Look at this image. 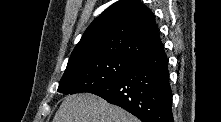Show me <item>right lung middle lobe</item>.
<instances>
[{"label":"right lung middle lobe","instance_id":"dd1d6c3e","mask_svg":"<svg viewBox=\"0 0 221 122\" xmlns=\"http://www.w3.org/2000/svg\"><path fill=\"white\" fill-rule=\"evenodd\" d=\"M134 61L124 56H104L68 67L59 82L58 92L90 93L105 87L118 80Z\"/></svg>","mask_w":221,"mask_h":122}]
</instances>
